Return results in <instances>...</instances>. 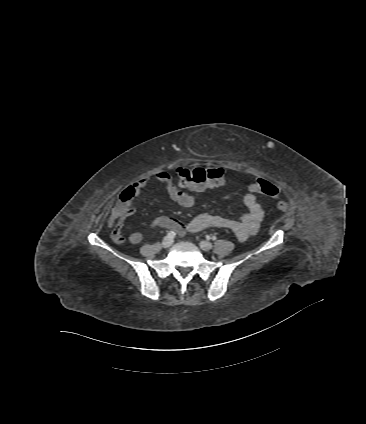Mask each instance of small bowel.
<instances>
[{
    "instance_id": "c3829d8e",
    "label": "small bowel",
    "mask_w": 366,
    "mask_h": 424,
    "mask_svg": "<svg viewBox=\"0 0 366 424\" xmlns=\"http://www.w3.org/2000/svg\"><path fill=\"white\" fill-rule=\"evenodd\" d=\"M213 169L215 171L222 172L219 182L200 189L187 188L192 191L201 192L208 188L222 186L225 183V171L222 168ZM148 180V178H142L136 181L130 189L134 191L135 195H138L139 192L146 186ZM156 180L165 185L171 200L178 205L182 207H192L195 204L194 196L180 190V188L173 183L171 176L167 172L158 173L156 175ZM251 185L248 188V192L243 197V203L248 212L242 215L239 219L226 218L216 213H203L192 218L187 224H183L175 218L159 216L151 222L150 228H166L175 231L180 236H184L187 232L195 233L207 228L215 227L231 231L235 237L241 241L247 240L249 237L257 233L265 215L263 207L256 199V192L251 189ZM182 187L186 186L182 185ZM124 219L125 218H120L113 211L108 220L109 226L113 228L111 237L114 242L119 244L125 242V238L121 233ZM142 239L143 235L138 232L133 233L128 237L129 242L132 244H138L142 241Z\"/></svg>"
}]
</instances>
